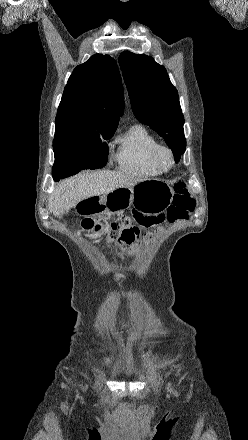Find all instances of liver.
<instances>
[{
  "instance_id": "6515ba94",
  "label": "liver",
  "mask_w": 248,
  "mask_h": 440,
  "mask_svg": "<svg viewBox=\"0 0 248 440\" xmlns=\"http://www.w3.org/2000/svg\"><path fill=\"white\" fill-rule=\"evenodd\" d=\"M143 181L134 176L114 171L79 173L60 183L48 199V209L63 217L79 202L110 193L118 188L133 187Z\"/></svg>"
}]
</instances>
